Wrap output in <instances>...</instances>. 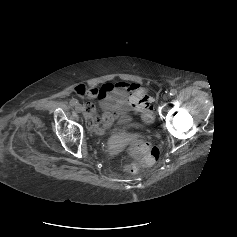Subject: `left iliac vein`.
I'll use <instances>...</instances> for the list:
<instances>
[{
	"label": "left iliac vein",
	"mask_w": 237,
	"mask_h": 237,
	"mask_svg": "<svg viewBox=\"0 0 237 237\" xmlns=\"http://www.w3.org/2000/svg\"><path fill=\"white\" fill-rule=\"evenodd\" d=\"M169 98V95L164 96V100H167Z\"/></svg>",
	"instance_id": "4c4485c4"
}]
</instances>
